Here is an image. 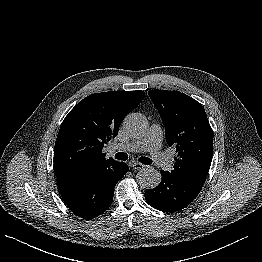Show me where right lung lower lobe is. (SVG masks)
Segmentation results:
<instances>
[{"label":"right lung lower lobe","mask_w":262,"mask_h":262,"mask_svg":"<svg viewBox=\"0 0 262 262\" xmlns=\"http://www.w3.org/2000/svg\"><path fill=\"white\" fill-rule=\"evenodd\" d=\"M129 170L124 162L68 180H58L59 192L67 207L83 219L102 214L112 203L116 183Z\"/></svg>","instance_id":"obj_1"}]
</instances>
